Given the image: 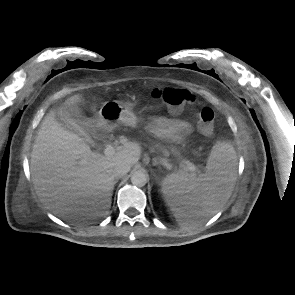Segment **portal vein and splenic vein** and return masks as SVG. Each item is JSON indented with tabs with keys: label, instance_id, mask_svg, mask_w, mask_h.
Segmentation results:
<instances>
[{
	"label": "portal vein and splenic vein",
	"instance_id": "portal-vein-and-splenic-vein-1",
	"mask_svg": "<svg viewBox=\"0 0 295 295\" xmlns=\"http://www.w3.org/2000/svg\"><path fill=\"white\" fill-rule=\"evenodd\" d=\"M104 154L105 156H112L115 154V148L111 145H108L105 149H104ZM185 168L187 171L191 172V173H195L196 172V166L190 162V161H186L185 162Z\"/></svg>",
	"mask_w": 295,
	"mask_h": 295
}]
</instances>
